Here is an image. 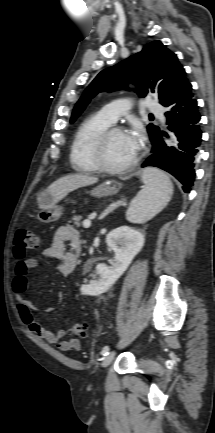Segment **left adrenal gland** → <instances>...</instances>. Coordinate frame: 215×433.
Masks as SVG:
<instances>
[{"mask_svg":"<svg viewBox=\"0 0 215 433\" xmlns=\"http://www.w3.org/2000/svg\"><path fill=\"white\" fill-rule=\"evenodd\" d=\"M125 203V199L122 198L121 200L112 203L109 207L106 208V210H104V212L101 214V216L99 217V219H103L105 218L109 213L113 212L116 208L120 207V206H124Z\"/></svg>","mask_w":215,"mask_h":433,"instance_id":"a2214340","label":"left adrenal gland"}]
</instances>
